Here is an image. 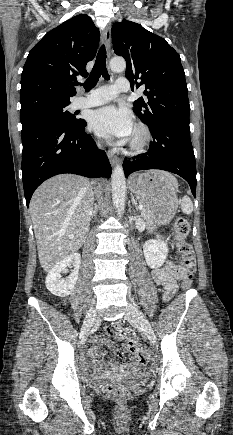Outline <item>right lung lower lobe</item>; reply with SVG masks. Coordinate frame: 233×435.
<instances>
[{"instance_id": "1", "label": "right lung lower lobe", "mask_w": 233, "mask_h": 435, "mask_svg": "<svg viewBox=\"0 0 233 435\" xmlns=\"http://www.w3.org/2000/svg\"><path fill=\"white\" fill-rule=\"evenodd\" d=\"M86 122L76 126L45 124L21 133L22 177L26 204L46 179L61 173L90 178L111 176V165L104 151L85 132Z\"/></svg>"}]
</instances>
